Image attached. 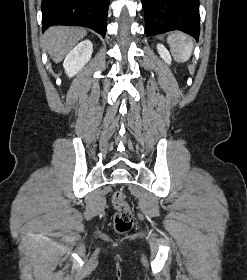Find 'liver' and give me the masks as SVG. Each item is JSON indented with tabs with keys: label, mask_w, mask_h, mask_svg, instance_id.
Here are the masks:
<instances>
[{
	"label": "liver",
	"mask_w": 247,
	"mask_h": 280,
	"mask_svg": "<svg viewBox=\"0 0 247 280\" xmlns=\"http://www.w3.org/2000/svg\"><path fill=\"white\" fill-rule=\"evenodd\" d=\"M85 35L86 31L78 27H50L44 34V47L53 61L59 63Z\"/></svg>",
	"instance_id": "liver-1"
}]
</instances>
